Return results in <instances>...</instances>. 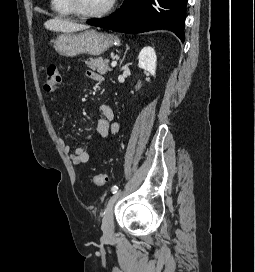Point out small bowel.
Masks as SVG:
<instances>
[{"mask_svg":"<svg viewBox=\"0 0 255 272\" xmlns=\"http://www.w3.org/2000/svg\"><path fill=\"white\" fill-rule=\"evenodd\" d=\"M86 75L89 79L95 82L103 81V76L94 70H88ZM98 114L99 119L97 121L95 131L92 134L86 136L84 141H89L94 136H98L102 139H109L117 133L119 125L115 120V112L113 108L106 104L100 105L98 107ZM60 144L64 151H71V147L65 139H61ZM70 159L73 164H85L89 161V154L83 147L79 146L76 147L70 154Z\"/></svg>","mask_w":255,"mask_h":272,"instance_id":"1","label":"small bowel"}]
</instances>
